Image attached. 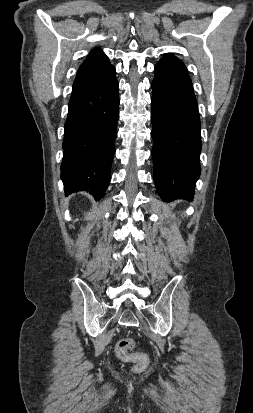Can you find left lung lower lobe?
I'll use <instances>...</instances> for the list:
<instances>
[{
  "mask_svg": "<svg viewBox=\"0 0 253 413\" xmlns=\"http://www.w3.org/2000/svg\"><path fill=\"white\" fill-rule=\"evenodd\" d=\"M152 157L154 182L164 200H191L200 176V118L184 63L166 54L154 67Z\"/></svg>",
  "mask_w": 253,
  "mask_h": 413,
  "instance_id": "0a47b994",
  "label": "left lung lower lobe"
}]
</instances>
